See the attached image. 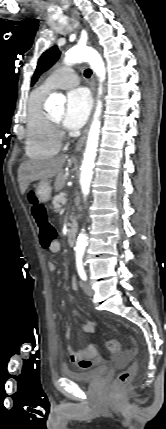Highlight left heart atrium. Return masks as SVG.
Wrapping results in <instances>:
<instances>
[{
    "label": "left heart atrium",
    "instance_id": "39dd6f15",
    "mask_svg": "<svg viewBox=\"0 0 166 429\" xmlns=\"http://www.w3.org/2000/svg\"><path fill=\"white\" fill-rule=\"evenodd\" d=\"M92 107V99L86 88L78 87L68 92L63 124L67 129H78L86 122Z\"/></svg>",
    "mask_w": 166,
    "mask_h": 429
}]
</instances>
